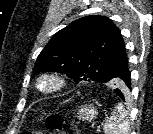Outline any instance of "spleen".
<instances>
[{
  "label": "spleen",
  "mask_w": 153,
  "mask_h": 134,
  "mask_svg": "<svg viewBox=\"0 0 153 134\" xmlns=\"http://www.w3.org/2000/svg\"><path fill=\"white\" fill-rule=\"evenodd\" d=\"M130 123L128 119V112L124 106L119 103L116 105L114 111L111 113L104 124L103 130L105 134H128Z\"/></svg>",
  "instance_id": "spleen-1"
}]
</instances>
